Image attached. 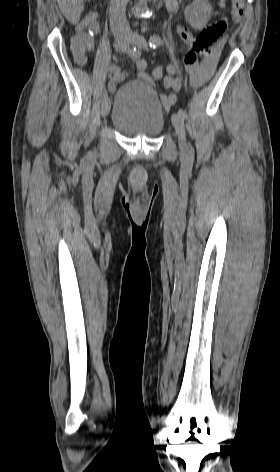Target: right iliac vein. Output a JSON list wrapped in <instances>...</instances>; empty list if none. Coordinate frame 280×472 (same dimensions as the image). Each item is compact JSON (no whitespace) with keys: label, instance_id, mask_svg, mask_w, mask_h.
Listing matches in <instances>:
<instances>
[{"label":"right iliac vein","instance_id":"obj_1","mask_svg":"<svg viewBox=\"0 0 280 472\" xmlns=\"http://www.w3.org/2000/svg\"><path fill=\"white\" fill-rule=\"evenodd\" d=\"M117 42H118V46L121 49V51L127 52L129 50L130 37L121 36V37L118 38ZM110 106H111L110 99L107 96H105L103 101H102V104H101V116L102 117H105V116L108 115V113L110 111Z\"/></svg>","mask_w":280,"mask_h":472}]
</instances>
